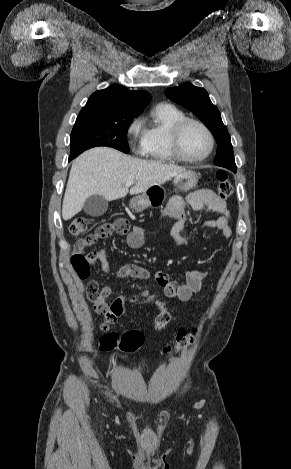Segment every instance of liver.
Returning a JSON list of instances; mask_svg holds the SVG:
<instances>
[{"label":"liver","mask_w":291,"mask_h":469,"mask_svg":"<svg viewBox=\"0 0 291 469\" xmlns=\"http://www.w3.org/2000/svg\"><path fill=\"white\" fill-rule=\"evenodd\" d=\"M185 171V168L133 158L108 147L85 151L72 164L62 204V218L78 214L88 197L97 194L107 201L125 197L128 181H134L130 194L145 192Z\"/></svg>","instance_id":"1"}]
</instances>
